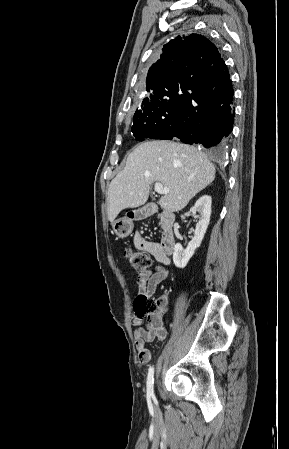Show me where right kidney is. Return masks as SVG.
Here are the masks:
<instances>
[{
    "label": "right kidney",
    "mask_w": 289,
    "mask_h": 449,
    "mask_svg": "<svg viewBox=\"0 0 289 449\" xmlns=\"http://www.w3.org/2000/svg\"><path fill=\"white\" fill-rule=\"evenodd\" d=\"M211 204H212L211 196L203 195L196 201L195 205L190 209L192 213L198 212L201 217L196 224V228L194 230V237L189 242L187 248L184 249L182 245L179 243H177L174 246L173 262L176 267L185 268L190 258L194 255L195 250L198 247H200L209 225L211 216Z\"/></svg>",
    "instance_id": "1"
}]
</instances>
